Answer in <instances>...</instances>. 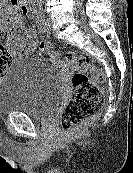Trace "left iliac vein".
Returning <instances> with one entry per match:
<instances>
[{"label":"left iliac vein","instance_id":"4c4485c4","mask_svg":"<svg viewBox=\"0 0 133 173\" xmlns=\"http://www.w3.org/2000/svg\"><path fill=\"white\" fill-rule=\"evenodd\" d=\"M50 32H51V22L49 19H46L43 33L48 35V34H50Z\"/></svg>","mask_w":133,"mask_h":173}]
</instances>
